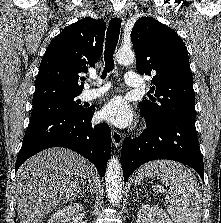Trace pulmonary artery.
<instances>
[{"instance_id": "e3ab8cb5", "label": "pulmonary artery", "mask_w": 221, "mask_h": 223, "mask_svg": "<svg viewBox=\"0 0 221 223\" xmlns=\"http://www.w3.org/2000/svg\"><path fill=\"white\" fill-rule=\"evenodd\" d=\"M125 82L130 87H141L143 85V80L139 77L138 73L135 71H128L124 75ZM90 82H102V79L99 76H91L89 78ZM110 85L105 84L99 88H89L85 90L84 97L86 100H92L95 99L102 94H104L108 89Z\"/></svg>"}]
</instances>
